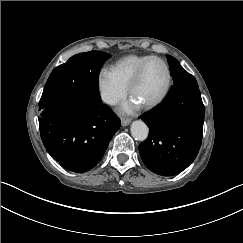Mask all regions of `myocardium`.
<instances>
[{
  "label": "myocardium",
  "mask_w": 243,
  "mask_h": 243,
  "mask_svg": "<svg viewBox=\"0 0 243 243\" xmlns=\"http://www.w3.org/2000/svg\"><path fill=\"white\" fill-rule=\"evenodd\" d=\"M151 61H159L161 62L167 69L168 72V83L166 86V89L164 90V92L161 94V96H159L156 100L146 103L143 105L144 108L146 109H151L154 107H157L158 105H160L169 95L171 89H172V85H173V72L171 69V66L169 65V63L164 60L161 57H157L154 56L150 59H147L145 61H143L140 66L138 67L137 71L135 72V74L133 75V77L131 78V80L129 81L128 85H127V91L128 93L131 95V91L133 89V87L137 84V82L140 80L142 73L145 69V67L147 66L148 63H150Z\"/></svg>",
  "instance_id": "f54148a6"
}]
</instances>
